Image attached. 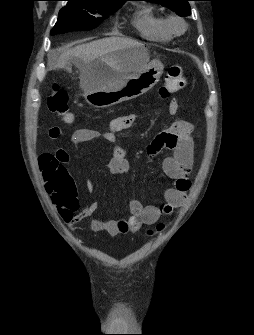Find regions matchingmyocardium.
Masks as SVG:
<instances>
[{
	"label": "myocardium",
	"instance_id": "f54148a6",
	"mask_svg": "<svg viewBox=\"0 0 254 335\" xmlns=\"http://www.w3.org/2000/svg\"><path fill=\"white\" fill-rule=\"evenodd\" d=\"M165 24H166L168 31L172 35H176V36L183 34L187 29V24L185 20L181 18L180 16H176V15L168 17L165 21Z\"/></svg>",
	"mask_w": 254,
	"mask_h": 335
}]
</instances>
